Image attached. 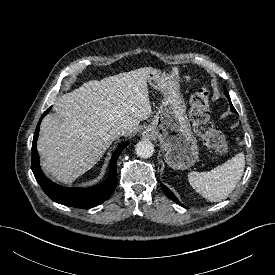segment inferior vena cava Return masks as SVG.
I'll list each match as a JSON object with an SVG mask.
<instances>
[{"mask_svg": "<svg viewBox=\"0 0 275 275\" xmlns=\"http://www.w3.org/2000/svg\"><path fill=\"white\" fill-rule=\"evenodd\" d=\"M116 134L117 135H126L127 130L125 128H120V129L117 130Z\"/></svg>", "mask_w": 275, "mask_h": 275, "instance_id": "602c4592", "label": "inferior vena cava"}]
</instances>
